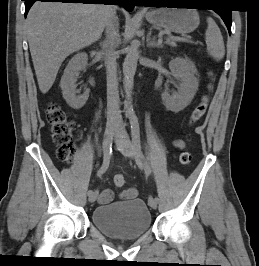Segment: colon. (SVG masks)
I'll return each instance as SVG.
<instances>
[{
  "mask_svg": "<svg viewBox=\"0 0 259 266\" xmlns=\"http://www.w3.org/2000/svg\"><path fill=\"white\" fill-rule=\"evenodd\" d=\"M211 85L208 86V91ZM209 103V94L206 93L196 105L190 116V123L199 121L206 113ZM49 125L52 141L58 148V157L65 162H70L76 153V146L73 141L72 131L74 123L67 114L57 104H49L45 112ZM192 160L190 150L184 149L179 155V161L183 165H188ZM114 184L117 187L125 185V177L118 174L114 177Z\"/></svg>",
  "mask_w": 259,
  "mask_h": 266,
  "instance_id": "5ec220e1",
  "label": "colon"
}]
</instances>
